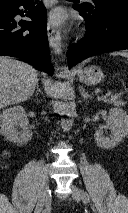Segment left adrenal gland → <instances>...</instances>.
I'll return each mask as SVG.
<instances>
[{
  "label": "left adrenal gland",
  "mask_w": 128,
  "mask_h": 213,
  "mask_svg": "<svg viewBox=\"0 0 128 213\" xmlns=\"http://www.w3.org/2000/svg\"><path fill=\"white\" fill-rule=\"evenodd\" d=\"M80 92H81V96L84 98V99H88V98H92V95L88 94V92L85 91V89L83 87H81L80 89Z\"/></svg>",
  "instance_id": "a2214340"
}]
</instances>
